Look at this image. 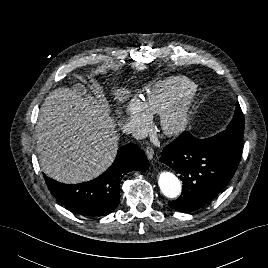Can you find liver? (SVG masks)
Masks as SVG:
<instances>
[{
	"instance_id": "6515ba94",
	"label": "liver",
	"mask_w": 268,
	"mask_h": 268,
	"mask_svg": "<svg viewBox=\"0 0 268 268\" xmlns=\"http://www.w3.org/2000/svg\"><path fill=\"white\" fill-rule=\"evenodd\" d=\"M82 86L58 88L45 98L37 125L39 162L50 178L66 183L85 182L112 164L118 149L116 124L99 100L85 95ZM123 101L125 88L113 91Z\"/></svg>"
}]
</instances>
